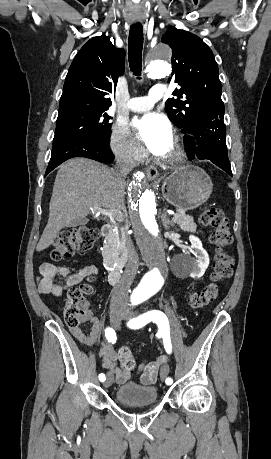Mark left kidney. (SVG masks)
Wrapping results in <instances>:
<instances>
[{"label": "left kidney", "instance_id": "1", "mask_svg": "<svg viewBox=\"0 0 271 459\" xmlns=\"http://www.w3.org/2000/svg\"><path fill=\"white\" fill-rule=\"evenodd\" d=\"M189 239L191 241L190 249L194 251L196 259L191 257L189 265H187V273H189L190 277L199 279V277L205 273V269H207L209 265V255L206 249H204L199 237H196V235H189Z\"/></svg>", "mask_w": 271, "mask_h": 459}]
</instances>
